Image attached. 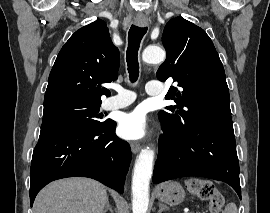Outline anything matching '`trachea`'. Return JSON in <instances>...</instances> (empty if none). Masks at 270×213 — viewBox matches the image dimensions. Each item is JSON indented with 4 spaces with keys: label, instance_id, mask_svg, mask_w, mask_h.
I'll return each instance as SVG.
<instances>
[{
    "label": "trachea",
    "instance_id": "3493384b",
    "mask_svg": "<svg viewBox=\"0 0 270 213\" xmlns=\"http://www.w3.org/2000/svg\"><path fill=\"white\" fill-rule=\"evenodd\" d=\"M147 32V27H138L132 25L128 33V48L126 61L130 81L136 82L139 76L138 50L143 36Z\"/></svg>",
    "mask_w": 270,
    "mask_h": 213
}]
</instances>
